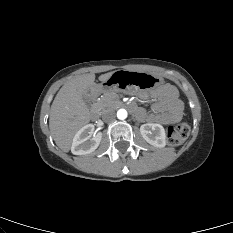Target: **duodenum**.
Masks as SVG:
<instances>
[{
  "label": "duodenum",
  "mask_w": 233,
  "mask_h": 233,
  "mask_svg": "<svg viewBox=\"0 0 233 233\" xmlns=\"http://www.w3.org/2000/svg\"><path fill=\"white\" fill-rule=\"evenodd\" d=\"M90 115H91V118L93 120L98 119V117H99V108H98L97 104L93 105V107L91 109V112H90Z\"/></svg>",
  "instance_id": "410a0bca"
}]
</instances>
